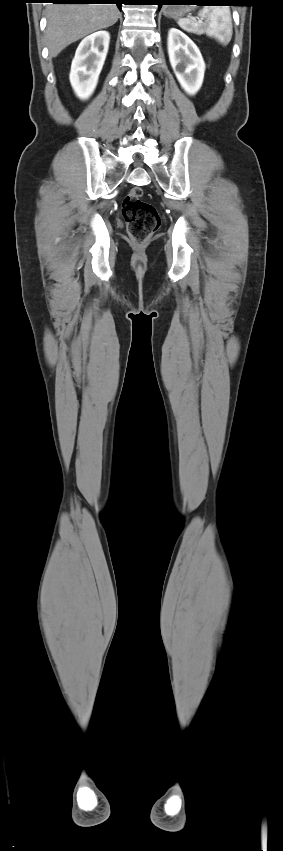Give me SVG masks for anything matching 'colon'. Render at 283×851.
Returning <instances> with one entry per match:
<instances>
[{
	"instance_id": "obj_1",
	"label": "colon",
	"mask_w": 283,
	"mask_h": 851,
	"mask_svg": "<svg viewBox=\"0 0 283 851\" xmlns=\"http://www.w3.org/2000/svg\"><path fill=\"white\" fill-rule=\"evenodd\" d=\"M143 190L134 186L126 193L122 203V214L132 240L144 244L160 225V216L154 205L141 199Z\"/></svg>"
}]
</instances>
